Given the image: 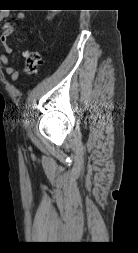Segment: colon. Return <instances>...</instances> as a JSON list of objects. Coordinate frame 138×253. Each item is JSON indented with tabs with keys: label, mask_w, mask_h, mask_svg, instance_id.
Masks as SVG:
<instances>
[{
	"label": "colon",
	"mask_w": 138,
	"mask_h": 253,
	"mask_svg": "<svg viewBox=\"0 0 138 253\" xmlns=\"http://www.w3.org/2000/svg\"><path fill=\"white\" fill-rule=\"evenodd\" d=\"M24 73L27 76H34L37 74L39 67L42 64V56L38 51H26L25 54Z\"/></svg>",
	"instance_id": "5ec220e1"
}]
</instances>
